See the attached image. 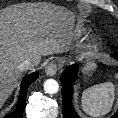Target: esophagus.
Segmentation results:
<instances>
[{"label":"esophagus","mask_w":118,"mask_h":118,"mask_svg":"<svg viewBox=\"0 0 118 118\" xmlns=\"http://www.w3.org/2000/svg\"><path fill=\"white\" fill-rule=\"evenodd\" d=\"M57 72V67L54 64H50L47 68H46V73L47 75L53 76L55 75Z\"/></svg>","instance_id":"1"}]
</instances>
